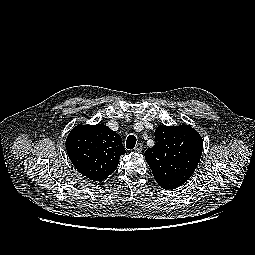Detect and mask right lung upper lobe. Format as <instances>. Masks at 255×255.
Returning <instances> with one entry per match:
<instances>
[{"label": "right lung upper lobe", "mask_w": 255, "mask_h": 255, "mask_svg": "<svg viewBox=\"0 0 255 255\" xmlns=\"http://www.w3.org/2000/svg\"><path fill=\"white\" fill-rule=\"evenodd\" d=\"M67 154L75 168L93 181L112 174L126 153L121 137L106 125H78L66 139Z\"/></svg>", "instance_id": "obj_1"}]
</instances>
